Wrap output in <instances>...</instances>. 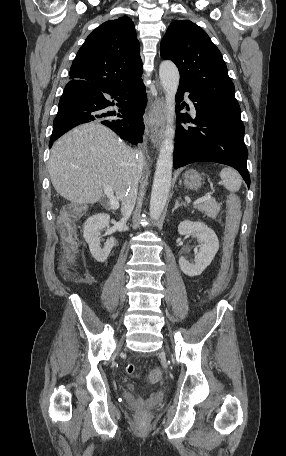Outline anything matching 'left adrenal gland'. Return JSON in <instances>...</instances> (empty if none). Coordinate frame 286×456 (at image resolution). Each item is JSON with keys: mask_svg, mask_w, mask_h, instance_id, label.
<instances>
[{"mask_svg": "<svg viewBox=\"0 0 286 456\" xmlns=\"http://www.w3.org/2000/svg\"><path fill=\"white\" fill-rule=\"evenodd\" d=\"M180 199H177L176 202H175V206L174 208L172 209V212H174L178 207L182 206V205H185L183 202L180 203Z\"/></svg>", "mask_w": 286, "mask_h": 456, "instance_id": "1", "label": "left adrenal gland"}]
</instances>
